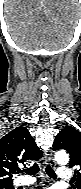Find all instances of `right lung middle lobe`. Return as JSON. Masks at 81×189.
<instances>
[{"label":"right lung middle lobe","mask_w":81,"mask_h":189,"mask_svg":"<svg viewBox=\"0 0 81 189\" xmlns=\"http://www.w3.org/2000/svg\"><path fill=\"white\" fill-rule=\"evenodd\" d=\"M0 189H14L12 184L0 186Z\"/></svg>","instance_id":"1"}]
</instances>
